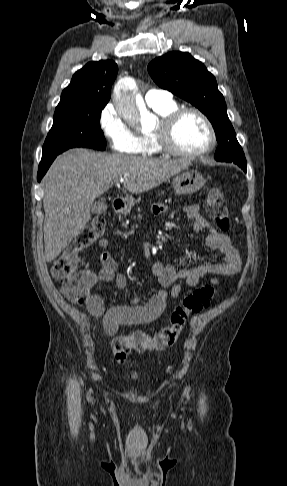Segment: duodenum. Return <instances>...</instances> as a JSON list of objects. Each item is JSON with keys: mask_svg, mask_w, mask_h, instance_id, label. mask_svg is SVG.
<instances>
[{"mask_svg": "<svg viewBox=\"0 0 287 486\" xmlns=\"http://www.w3.org/2000/svg\"><path fill=\"white\" fill-rule=\"evenodd\" d=\"M125 204L121 199H116L113 201V208L117 213H120L124 210Z\"/></svg>", "mask_w": 287, "mask_h": 486, "instance_id": "1", "label": "duodenum"}]
</instances>
